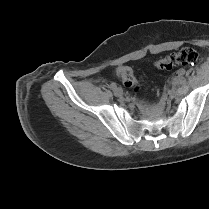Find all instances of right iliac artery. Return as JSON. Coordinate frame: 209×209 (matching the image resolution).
<instances>
[{
    "label": "right iliac artery",
    "instance_id": "82829eb1",
    "mask_svg": "<svg viewBox=\"0 0 209 209\" xmlns=\"http://www.w3.org/2000/svg\"><path fill=\"white\" fill-rule=\"evenodd\" d=\"M110 87H111L112 89H115V88L117 87V85H116V83L112 82V83L110 84Z\"/></svg>",
    "mask_w": 209,
    "mask_h": 209
}]
</instances>
